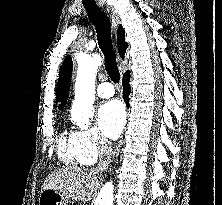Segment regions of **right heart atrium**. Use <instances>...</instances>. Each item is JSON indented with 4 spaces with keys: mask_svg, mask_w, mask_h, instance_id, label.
Returning <instances> with one entry per match:
<instances>
[{
    "mask_svg": "<svg viewBox=\"0 0 222 205\" xmlns=\"http://www.w3.org/2000/svg\"><path fill=\"white\" fill-rule=\"evenodd\" d=\"M71 137L87 164L95 162L108 150V144L94 127L76 129Z\"/></svg>",
    "mask_w": 222,
    "mask_h": 205,
    "instance_id": "d8ad5b80",
    "label": "right heart atrium"
}]
</instances>
